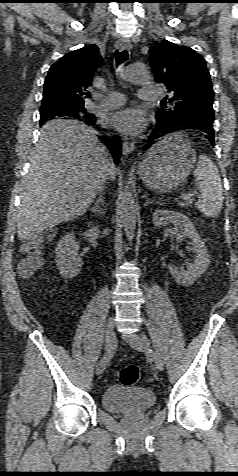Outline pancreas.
Wrapping results in <instances>:
<instances>
[{"label": "pancreas", "instance_id": "obj_1", "mask_svg": "<svg viewBox=\"0 0 238 476\" xmlns=\"http://www.w3.org/2000/svg\"><path fill=\"white\" fill-rule=\"evenodd\" d=\"M193 202V197H190L188 199H185L183 202L180 203V206L186 207V206H191Z\"/></svg>", "mask_w": 238, "mask_h": 476}]
</instances>
